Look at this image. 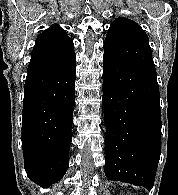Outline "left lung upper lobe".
Instances as JSON below:
<instances>
[{"mask_svg": "<svg viewBox=\"0 0 178 195\" xmlns=\"http://www.w3.org/2000/svg\"><path fill=\"white\" fill-rule=\"evenodd\" d=\"M104 55L156 74L147 35L128 18H117L111 24L104 42Z\"/></svg>", "mask_w": 178, "mask_h": 195, "instance_id": "1", "label": "left lung upper lobe"}]
</instances>
